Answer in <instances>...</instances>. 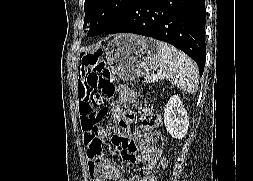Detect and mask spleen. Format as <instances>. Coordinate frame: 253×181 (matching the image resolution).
<instances>
[{"instance_id":"spleen-1","label":"spleen","mask_w":253,"mask_h":181,"mask_svg":"<svg viewBox=\"0 0 253 181\" xmlns=\"http://www.w3.org/2000/svg\"><path fill=\"white\" fill-rule=\"evenodd\" d=\"M158 47L160 51L159 76L195 94L199 85V70L196 63L168 43L158 41Z\"/></svg>"}]
</instances>
